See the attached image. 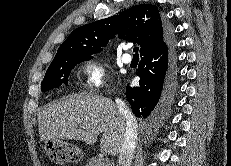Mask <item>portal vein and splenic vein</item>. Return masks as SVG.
<instances>
[{"instance_id": "18ae733b", "label": "portal vein and splenic vein", "mask_w": 231, "mask_h": 166, "mask_svg": "<svg viewBox=\"0 0 231 166\" xmlns=\"http://www.w3.org/2000/svg\"><path fill=\"white\" fill-rule=\"evenodd\" d=\"M102 160H103V161H104V163H106L107 165H110V161H109V159H108V158H103Z\"/></svg>"}]
</instances>
